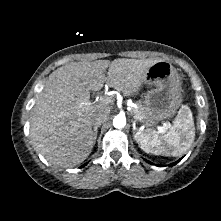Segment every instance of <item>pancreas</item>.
I'll list each match as a JSON object with an SVG mask.
<instances>
[{
	"instance_id": "cf45deb5",
	"label": "pancreas",
	"mask_w": 221,
	"mask_h": 221,
	"mask_svg": "<svg viewBox=\"0 0 221 221\" xmlns=\"http://www.w3.org/2000/svg\"><path fill=\"white\" fill-rule=\"evenodd\" d=\"M131 112L133 115L138 118L139 120H143L145 117V110L144 107L138 104V109L132 108Z\"/></svg>"
}]
</instances>
